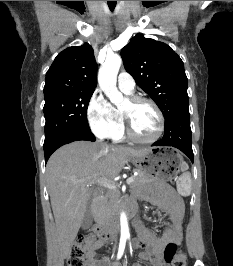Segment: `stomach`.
Instances as JSON below:
<instances>
[{
	"instance_id": "1",
	"label": "stomach",
	"mask_w": 233,
	"mask_h": 266,
	"mask_svg": "<svg viewBox=\"0 0 233 266\" xmlns=\"http://www.w3.org/2000/svg\"><path fill=\"white\" fill-rule=\"evenodd\" d=\"M139 171L149 174L153 180H175L177 167L183 166L184 156L179 147H154L140 157H132Z\"/></svg>"
}]
</instances>
